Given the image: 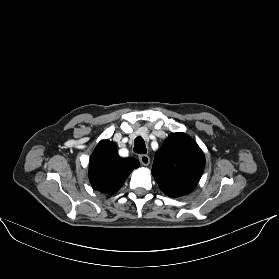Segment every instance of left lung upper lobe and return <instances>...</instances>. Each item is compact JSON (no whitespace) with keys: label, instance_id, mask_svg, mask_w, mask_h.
Instances as JSON below:
<instances>
[{"label":"left lung upper lobe","instance_id":"left-lung-upper-lobe-1","mask_svg":"<svg viewBox=\"0 0 279 279\" xmlns=\"http://www.w3.org/2000/svg\"><path fill=\"white\" fill-rule=\"evenodd\" d=\"M205 156L196 142L182 132L172 133L156 152L152 175L169 197L189 194L198 184Z\"/></svg>","mask_w":279,"mask_h":279}]
</instances>
